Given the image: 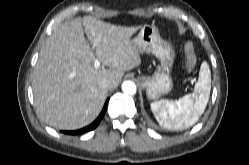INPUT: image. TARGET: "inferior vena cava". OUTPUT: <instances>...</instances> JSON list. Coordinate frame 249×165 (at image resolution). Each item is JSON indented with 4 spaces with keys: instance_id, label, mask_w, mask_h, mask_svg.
Wrapping results in <instances>:
<instances>
[{
    "instance_id": "obj_1",
    "label": "inferior vena cava",
    "mask_w": 249,
    "mask_h": 165,
    "mask_svg": "<svg viewBox=\"0 0 249 165\" xmlns=\"http://www.w3.org/2000/svg\"><path fill=\"white\" fill-rule=\"evenodd\" d=\"M101 86H102V88L108 90V89H111V88H112V83H111L110 80L104 79V80L101 82Z\"/></svg>"
}]
</instances>
